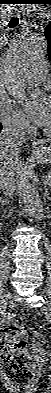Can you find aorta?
<instances>
[{
  "instance_id": "1",
  "label": "aorta",
  "mask_w": 51,
  "mask_h": 393,
  "mask_svg": "<svg viewBox=\"0 0 51 393\" xmlns=\"http://www.w3.org/2000/svg\"><path fill=\"white\" fill-rule=\"evenodd\" d=\"M46 52L47 41L44 35L38 33L18 35L9 46L5 63L8 91L25 105H30L31 95L18 77L31 63L44 57ZM20 189L26 210L35 219L42 220L45 217L42 200L28 176L22 180Z\"/></svg>"
}]
</instances>
